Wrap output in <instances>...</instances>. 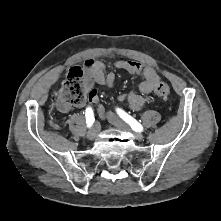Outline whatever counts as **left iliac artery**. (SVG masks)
<instances>
[{"instance_id":"left-iliac-artery-1","label":"left iliac artery","mask_w":221,"mask_h":221,"mask_svg":"<svg viewBox=\"0 0 221 221\" xmlns=\"http://www.w3.org/2000/svg\"><path fill=\"white\" fill-rule=\"evenodd\" d=\"M117 113L125 122H127L131 126V128L135 132L143 131V126L130 115H128L125 111H123L122 109H117Z\"/></svg>"}]
</instances>
